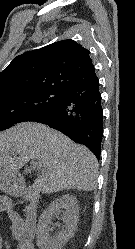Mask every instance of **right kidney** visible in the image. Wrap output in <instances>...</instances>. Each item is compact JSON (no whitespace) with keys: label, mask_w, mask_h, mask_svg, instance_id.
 <instances>
[{"label":"right kidney","mask_w":135,"mask_h":249,"mask_svg":"<svg viewBox=\"0 0 135 249\" xmlns=\"http://www.w3.org/2000/svg\"><path fill=\"white\" fill-rule=\"evenodd\" d=\"M63 211L62 220L64 227L56 235L52 236L50 227L53 216ZM79 217V207L76 197L70 194L56 198L41 214L37 226V246L39 249H62L67 241L76 232Z\"/></svg>","instance_id":"obj_1"}]
</instances>
